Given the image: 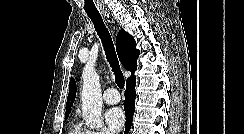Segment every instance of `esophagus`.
Segmentation results:
<instances>
[{
    "mask_svg": "<svg viewBox=\"0 0 244 134\" xmlns=\"http://www.w3.org/2000/svg\"><path fill=\"white\" fill-rule=\"evenodd\" d=\"M104 16L108 19V21L110 22V16H109V14H104Z\"/></svg>",
    "mask_w": 244,
    "mask_h": 134,
    "instance_id": "1",
    "label": "esophagus"
}]
</instances>
